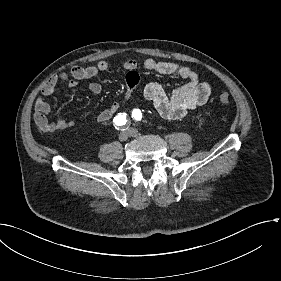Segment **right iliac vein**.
<instances>
[{
    "instance_id": "right-iliac-vein-1",
    "label": "right iliac vein",
    "mask_w": 281,
    "mask_h": 281,
    "mask_svg": "<svg viewBox=\"0 0 281 281\" xmlns=\"http://www.w3.org/2000/svg\"><path fill=\"white\" fill-rule=\"evenodd\" d=\"M128 136H129V131L128 130H123L119 134V140L120 141H126L128 139Z\"/></svg>"
}]
</instances>
